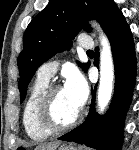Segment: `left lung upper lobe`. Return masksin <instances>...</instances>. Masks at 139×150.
Segmentation results:
<instances>
[{"mask_svg":"<svg viewBox=\"0 0 139 150\" xmlns=\"http://www.w3.org/2000/svg\"><path fill=\"white\" fill-rule=\"evenodd\" d=\"M113 0H51L28 25L24 47L17 63L20 71L18 87L20 103L23 102L27 86L37 68L56 53L69 49L72 40L81 29L87 32L91 27L88 18L96 19L103 27L115 6ZM86 71L90 63L81 64Z\"/></svg>","mask_w":139,"mask_h":150,"instance_id":"5c2ea615","label":"left lung upper lobe"}]
</instances>
